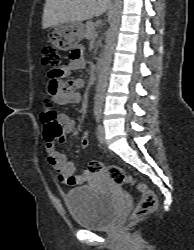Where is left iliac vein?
<instances>
[{"instance_id": "obj_1", "label": "left iliac vein", "mask_w": 194, "mask_h": 250, "mask_svg": "<svg viewBox=\"0 0 194 250\" xmlns=\"http://www.w3.org/2000/svg\"><path fill=\"white\" fill-rule=\"evenodd\" d=\"M97 136L101 143H105V129L102 124H100L97 128Z\"/></svg>"}]
</instances>
